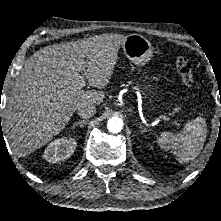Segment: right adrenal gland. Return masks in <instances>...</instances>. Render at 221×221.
<instances>
[{
    "label": "right adrenal gland",
    "instance_id": "2a0ac1e0",
    "mask_svg": "<svg viewBox=\"0 0 221 221\" xmlns=\"http://www.w3.org/2000/svg\"><path fill=\"white\" fill-rule=\"evenodd\" d=\"M88 122V120L78 121L73 125V128L80 126L81 128Z\"/></svg>",
    "mask_w": 221,
    "mask_h": 221
}]
</instances>
